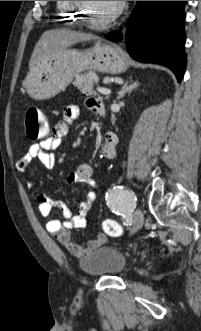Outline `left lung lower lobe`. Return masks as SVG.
Segmentation results:
<instances>
[{"label": "left lung lower lobe", "instance_id": "0a47b994", "mask_svg": "<svg viewBox=\"0 0 201 331\" xmlns=\"http://www.w3.org/2000/svg\"><path fill=\"white\" fill-rule=\"evenodd\" d=\"M187 1H137L126 24L124 41L129 55L144 63L170 68L180 82L185 72L184 6ZM153 16L148 19V14ZM108 39L119 41L120 31Z\"/></svg>", "mask_w": 201, "mask_h": 331}]
</instances>
